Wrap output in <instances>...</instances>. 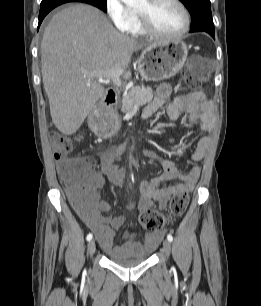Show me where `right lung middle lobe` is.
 <instances>
[{
	"mask_svg": "<svg viewBox=\"0 0 261 306\" xmlns=\"http://www.w3.org/2000/svg\"><path fill=\"white\" fill-rule=\"evenodd\" d=\"M64 2L65 1L62 0H42L40 7L50 4L64 3ZM84 2L98 7L104 12L107 11V5H106L107 0H84Z\"/></svg>",
	"mask_w": 261,
	"mask_h": 306,
	"instance_id": "dd1d6c3e",
	"label": "right lung middle lobe"
}]
</instances>
